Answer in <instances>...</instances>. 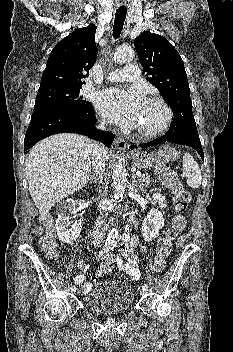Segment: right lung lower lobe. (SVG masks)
Here are the masks:
<instances>
[{
  "label": "right lung lower lobe",
  "mask_w": 233,
  "mask_h": 352,
  "mask_svg": "<svg viewBox=\"0 0 233 352\" xmlns=\"http://www.w3.org/2000/svg\"><path fill=\"white\" fill-rule=\"evenodd\" d=\"M95 113L92 106L79 109H59L35 112L24 139L27 153L38 141L57 133H78L99 140L110 147L114 135L95 128Z\"/></svg>",
  "instance_id": "right-lung-lower-lobe-1"
}]
</instances>
